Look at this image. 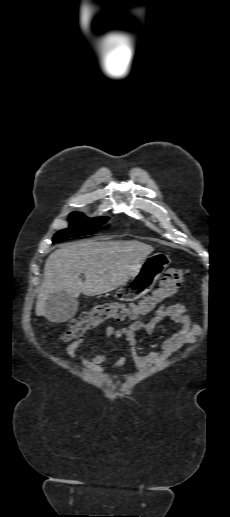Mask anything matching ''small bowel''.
Wrapping results in <instances>:
<instances>
[{
    "label": "small bowel",
    "instance_id": "1",
    "mask_svg": "<svg viewBox=\"0 0 230 517\" xmlns=\"http://www.w3.org/2000/svg\"><path fill=\"white\" fill-rule=\"evenodd\" d=\"M166 319L179 324V329L162 343L161 348L158 351L147 354L139 353L136 350V333L139 330H143L147 335L152 336L155 334L157 326ZM198 332L199 328L197 324L190 319L186 306L176 303L161 306L147 322L137 320L132 322L129 326L120 329L110 326L106 329L105 336L106 338L117 340L123 339L130 348L128 355L134 359L137 367L142 369L157 361L166 359L185 344L192 342L198 335ZM83 341V339H79L69 344L66 347V355L70 358H76L78 349ZM126 357L127 355H124L119 358L115 363V366L123 364ZM80 360L92 369H100L102 368V365L108 361V357L106 355L88 357L82 353L80 355Z\"/></svg>",
    "mask_w": 230,
    "mask_h": 517
}]
</instances>
